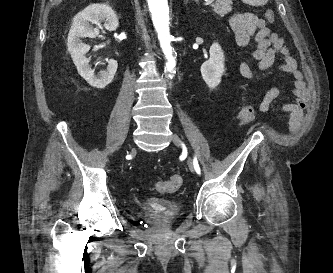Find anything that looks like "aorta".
Returning <instances> with one entry per match:
<instances>
[{
	"mask_svg": "<svg viewBox=\"0 0 333 273\" xmlns=\"http://www.w3.org/2000/svg\"><path fill=\"white\" fill-rule=\"evenodd\" d=\"M147 2L162 51L167 59L165 69L173 73L176 61L171 46L168 0H147Z\"/></svg>",
	"mask_w": 333,
	"mask_h": 273,
	"instance_id": "1",
	"label": "aorta"
}]
</instances>
